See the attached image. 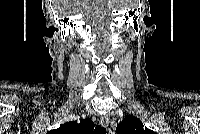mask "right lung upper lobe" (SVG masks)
Masks as SVG:
<instances>
[{
	"mask_svg": "<svg viewBox=\"0 0 200 134\" xmlns=\"http://www.w3.org/2000/svg\"><path fill=\"white\" fill-rule=\"evenodd\" d=\"M94 127L90 119L67 122L60 126L58 129L51 130L50 134H91Z\"/></svg>",
	"mask_w": 200,
	"mask_h": 134,
	"instance_id": "obj_1",
	"label": "right lung upper lobe"
}]
</instances>
